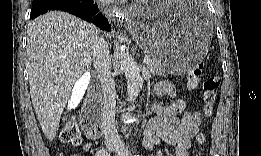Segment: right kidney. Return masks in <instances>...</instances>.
Here are the masks:
<instances>
[{"instance_id":"right-kidney-1","label":"right kidney","mask_w":261,"mask_h":156,"mask_svg":"<svg viewBox=\"0 0 261 156\" xmlns=\"http://www.w3.org/2000/svg\"><path fill=\"white\" fill-rule=\"evenodd\" d=\"M82 89H81V91H80V93H79V97H81L82 96V94H83V92H84V90H85V88H86V83L84 82H82Z\"/></svg>"}]
</instances>
